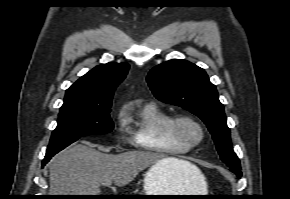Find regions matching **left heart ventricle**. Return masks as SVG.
Here are the masks:
<instances>
[{
	"mask_svg": "<svg viewBox=\"0 0 290 199\" xmlns=\"http://www.w3.org/2000/svg\"><path fill=\"white\" fill-rule=\"evenodd\" d=\"M183 130L185 131L187 135L191 137H196L198 135L197 129L192 126H186L183 128Z\"/></svg>",
	"mask_w": 290,
	"mask_h": 199,
	"instance_id": "obj_1",
	"label": "left heart ventricle"
}]
</instances>
